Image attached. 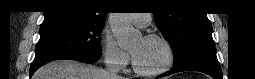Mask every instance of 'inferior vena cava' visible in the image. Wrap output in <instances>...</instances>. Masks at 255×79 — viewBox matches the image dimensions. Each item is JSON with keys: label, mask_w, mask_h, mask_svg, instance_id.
<instances>
[{"label": "inferior vena cava", "mask_w": 255, "mask_h": 79, "mask_svg": "<svg viewBox=\"0 0 255 79\" xmlns=\"http://www.w3.org/2000/svg\"><path fill=\"white\" fill-rule=\"evenodd\" d=\"M106 71L111 76V78H113L114 76L117 75L118 67L112 60L107 59L106 60Z\"/></svg>", "instance_id": "inferior-vena-cava-1"}]
</instances>
